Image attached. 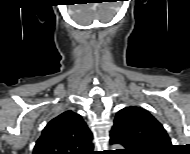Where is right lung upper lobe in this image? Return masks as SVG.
<instances>
[{
	"label": "right lung upper lobe",
	"mask_w": 190,
	"mask_h": 154,
	"mask_svg": "<svg viewBox=\"0 0 190 154\" xmlns=\"http://www.w3.org/2000/svg\"><path fill=\"white\" fill-rule=\"evenodd\" d=\"M93 148L92 133L85 121L68 110L46 125L33 154H91Z\"/></svg>",
	"instance_id": "right-lung-upper-lobe-1"
}]
</instances>
